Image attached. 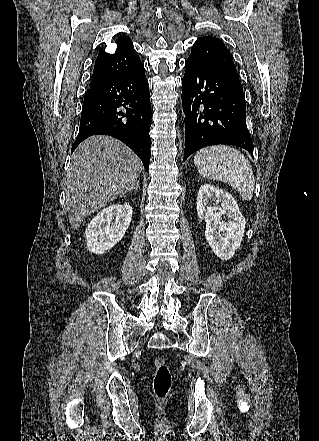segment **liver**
<instances>
[{
  "label": "liver",
  "instance_id": "6515ba94",
  "mask_svg": "<svg viewBox=\"0 0 319 441\" xmlns=\"http://www.w3.org/2000/svg\"><path fill=\"white\" fill-rule=\"evenodd\" d=\"M142 169L141 160L121 141L105 135L85 139L73 152L66 175L71 227L133 190Z\"/></svg>",
  "mask_w": 319,
  "mask_h": 441
}]
</instances>
